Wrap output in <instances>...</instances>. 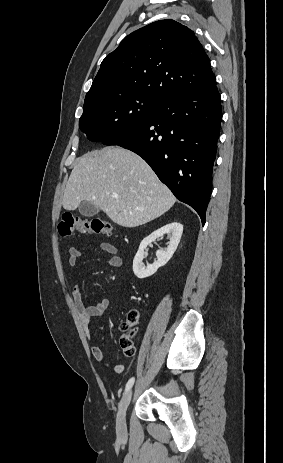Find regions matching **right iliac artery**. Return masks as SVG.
<instances>
[{
	"mask_svg": "<svg viewBox=\"0 0 283 463\" xmlns=\"http://www.w3.org/2000/svg\"><path fill=\"white\" fill-rule=\"evenodd\" d=\"M134 377L130 378L129 381L126 384L125 391L127 392L134 384Z\"/></svg>",
	"mask_w": 283,
	"mask_h": 463,
	"instance_id": "82829eb1",
	"label": "right iliac artery"
}]
</instances>
